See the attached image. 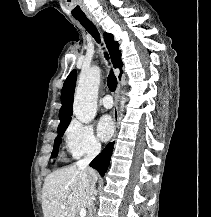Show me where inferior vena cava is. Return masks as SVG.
Masks as SVG:
<instances>
[{
    "mask_svg": "<svg viewBox=\"0 0 211 217\" xmlns=\"http://www.w3.org/2000/svg\"><path fill=\"white\" fill-rule=\"evenodd\" d=\"M101 145L100 144H94L90 151L88 152L87 156L81 160H79L76 164L78 168L80 169H87L90 162L94 159V157L100 152ZM95 194V181H91L90 184V195L91 200H93V196ZM94 208L93 202L91 203V212L90 217L92 216V209Z\"/></svg>",
    "mask_w": 211,
    "mask_h": 217,
    "instance_id": "1",
    "label": "inferior vena cava"
}]
</instances>
